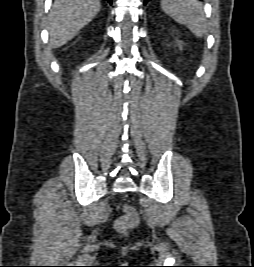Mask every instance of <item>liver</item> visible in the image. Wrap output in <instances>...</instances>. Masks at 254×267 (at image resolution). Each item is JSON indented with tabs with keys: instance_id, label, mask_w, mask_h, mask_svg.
Returning a JSON list of instances; mask_svg holds the SVG:
<instances>
[{
	"instance_id": "1",
	"label": "liver",
	"mask_w": 254,
	"mask_h": 267,
	"mask_svg": "<svg viewBox=\"0 0 254 267\" xmlns=\"http://www.w3.org/2000/svg\"><path fill=\"white\" fill-rule=\"evenodd\" d=\"M99 0H56L49 14V45L59 48L98 14Z\"/></svg>"
}]
</instances>
